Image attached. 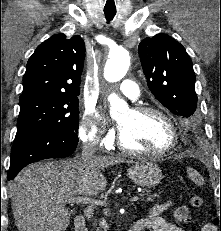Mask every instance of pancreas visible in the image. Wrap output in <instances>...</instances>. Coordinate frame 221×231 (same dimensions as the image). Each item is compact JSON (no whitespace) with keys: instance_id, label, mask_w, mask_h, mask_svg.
Segmentation results:
<instances>
[{"instance_id":"obj_1","label":"pancreas","mask_w":221,"mask_h":231,"mask_svg":"<svg viewBox=\"0 0 221 231\" xmlns=\"http://www.w3.org/2000/svg\"><path fill=\"white\" fill-rule=\"evenodd\" d=\"M158 196L157 194H153L151 195L150 193H147V198L145 199L146 201H152L154 197ZM105 214H107V211L104 212ZM100 228L104 229L105 231H107L108 229V224L106 223V221L104 219L100 220L99 223Z\"/></svg>"}]
</instances>
